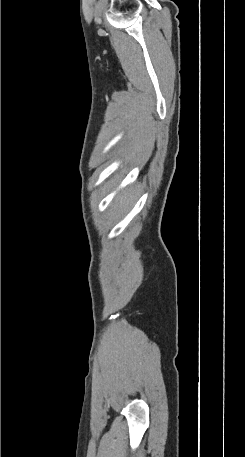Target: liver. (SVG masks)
Here are the masks:
<instances>
[{"label":"liver","instance_id":"6515ba94","mask_svg":"<svg viewBox=\"0 0 245 457\" xmlns=\"http://www.w3.org/2000/svg\"><path fill=\"white\" fill-rule=\"evenodd\" d=\"M119 204H120V208H125V206H128V202H129V198H127V196H121V194H119Z\"/></svg>","mask_w":245,"mask_h":457}]
</instances>
